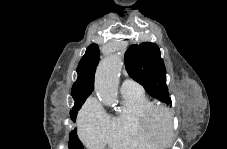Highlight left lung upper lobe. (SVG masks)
<instances>
[{
  "label": "left lung upper lobe",
  "instance_id": "1",
  "mask_svg": "<svg viewBox=\"0 0 227 149\" xmlns=\"http://www.w3.org/2000/svg\"><path fill=\"white\" fill-rule=\"evenodd\" d=\"M124 59L131 78L140 83L152 97L171 104L164 61L156 44L143 42L132 45L125 53Z\"/></svg>",
  "mask_w": 227,
  "mask_h": 149
}]
</instances>
